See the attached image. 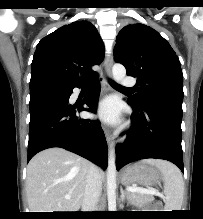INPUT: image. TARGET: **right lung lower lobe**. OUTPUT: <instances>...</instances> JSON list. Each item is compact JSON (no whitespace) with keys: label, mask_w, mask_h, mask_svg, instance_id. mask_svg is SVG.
Segmentation results:
<instances>
[{"label":"right lung lower lobe","mask_w":203,"mask_h":219,"mask_svg":"<svg viewBox=\"0 0 203 219\" xmlns=\"http://www.w3.org/2000/svg\"><path fill=\"white\" fill-rule=\"evenodd\" d=\"M81 85L39 88L30 92L28 162L44 149L61 147L106 169L107 143L100 122L76 116L80 111L96 112L99 82L83 100L88 108L69 103L72 90Z\"/></svg>","instance_id":"98d812e1"}]
</instances>
